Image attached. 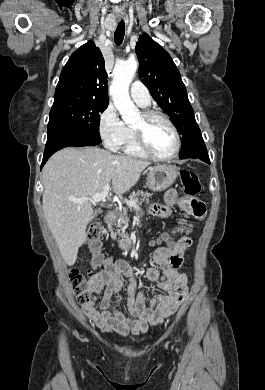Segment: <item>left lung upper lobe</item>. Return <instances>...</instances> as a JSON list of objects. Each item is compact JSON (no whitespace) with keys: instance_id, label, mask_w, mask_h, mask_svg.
<instances>
[{"instance_id":"left-lung-upper-lobe-1","label":"left lung upper lobe","mask_w":265,"mask_h":390,"mask_svg":"<svg viewBox=\"0 0 265 390\" xmlns=\"http://www.w3.org/2000/svg\"><path fill=\"white\" fill-rule=\"evenodd\" d=\"M135 51L141 81L181 134L180 159H185L205 143L180 72L169 53L147 34L139 37Z\"/></svg>"}]
</instances>
